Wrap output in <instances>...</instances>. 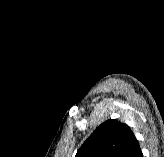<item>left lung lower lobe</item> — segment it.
Listing matches in <instances>:
<instances>
[{
    "label": "left lung lower lobe",
    "instance_id": "obj_1",
    "mask_svg": "<svg viewBox=\"0 0 164 157\" xmlns=\"http://www.w3.org/2000/svg\"><path fill=\"white\" fill-rule=\"evenodd\" d=\"M126 157H143L138 140L136 139L131 145Z\"/></svg>",
    "mask_w": 164,
    "mask_h": 157
}]
</instances>
